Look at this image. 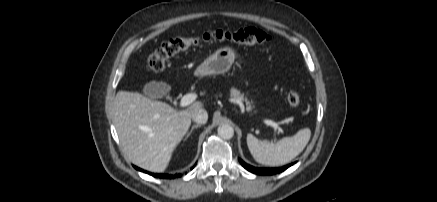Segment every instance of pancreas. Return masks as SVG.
Returning <instances> with one entry per match:
<instances>
[{
	"label": "pancreas",
	"mask_w": 437,
	"mask_h": 202,
	"mask_svg": "<svg viewBox=\"0 0 437 202\" xmlns=\"http://www.w3.org/2000/svg\"><path fill=\"white\" fill-rule=\"evenodd\" d=\"M230 95H231V97H233L235 100L245 101V102H246V105H247L246 110H247L248 112H250V111L252 110V106H251L250 102L247 101L246 98H244V95L241 94L240 91H238V90L235 89V88H232V89L230 90Z\"/></svg>",
	"instance_id": "pancreas-1"
}]
</instances>
